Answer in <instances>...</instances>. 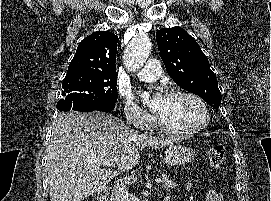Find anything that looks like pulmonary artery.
Segmentation results:
<instances>
[{"mask_svg":"<svg viewBox=\"0 0 271 201\" xmlns=\"http://www.w3.org/2000/svg\"><path fill=\"white\" fill-rule=\"evenodd\" d=\"M162 76L160 63L156 59L147 60L145 67L137 73V77L146 82H153Z\"/></svg>","mask_w":271,"mask_h":201,"instance_id":"obj_1","label":"pulmonary artery"}]
</instances>
